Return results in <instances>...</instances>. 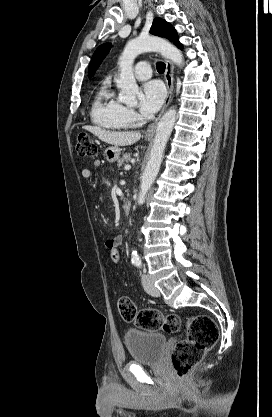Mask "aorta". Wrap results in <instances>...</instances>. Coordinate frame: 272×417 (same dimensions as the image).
Wrapping results in <instances>:
<instances>
[{
    "label": "aorta",
    "mask_w": 272,
    "mask_h": 417,
    "mask_svg": "<svg viewBox=\"0 0 272 417\" xmlns=\"http://www.w3.org/2000/svg\"><path fill=\"white\" fill-rule=\"evenodd\" d=\"M157 51L165 58L170 59L178 66L183 65V56L181 51L167 42L166 40L155 36H140L130 40L120 58L119 67L120 75L117 81V87L120 89L119 100L127 105L133 106L137 104V95L139 87L133 74L134 59L143 52ZM176 119V110L170 108L165 112L156 128V134L151 148L150 156L143 172L140 192L138 196V204L145 202L146 195L150 190L162 163L164 150ZM139 256L136 251L132 252V260L136 261Z\"/></svg>",
    "instance_id": "762f6f07"
}]
</instances>
